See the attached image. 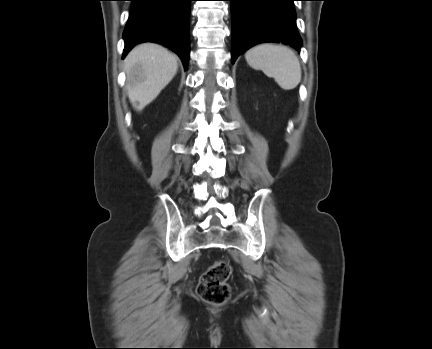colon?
I'll return each mask as SVG.
<instances>
[{
  "label": "colon",
  "mask_w": 432,
  "mask_h": 349,
  "mask_svg": "<svg viewBox=\"0 0 432 349\" xmlns=\"http://www.w3.org/2000/svg\"><path fill=\"white\" fill-rule=\"evenodd\" d=\"M232 274V267L226 260L213 263L201 276L197 293L206 302L220 305L230 297L228 280Z\"/></svg>",
  "instance_id": "1"
}]
</instances>
